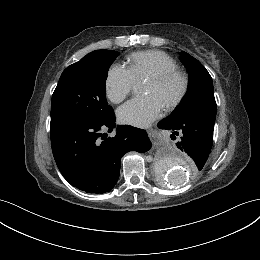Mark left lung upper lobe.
I'll use <instances>...</instances> for the list:
<instances>
[{"label": "left lung upper lobe", "instance_id": "left-lung-upper-lobe-1", "mask_svg": "<svg viewBox=\"0 0 260 260\" xmlns=\"http://www.w3.org/2000/svg\"><path fill=\"white\" fill-rule=\"evenodd\" d=\"M180 59L190 73V87L169 117L177 120L187 116H196L215 123L217 106L210 74L197 59L188 53L182 51Z\"/></svg>", "mask_w": 260, "mask_h": 260}]
</instances>
